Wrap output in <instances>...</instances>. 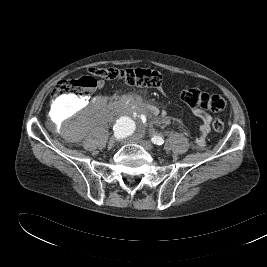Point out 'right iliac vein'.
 I'll list each match as a JSON object with an SVG mask.
<instances>
[{"label": "right iliac vein", "instance_id": "obj_1", "mask_svg": "<svg viewBox=\"0 0 267 267\" xmlns=\"http://www.w3.org/2000/svg\"><path fill=\"white\" fill-rule=\"evenodd\" d=\"M115 143H116V139L114 137H112L108 142V147L109 148L114 147Z\"/></svg>", "mask_w": 267, "mask_h": 267}]
</instances>
